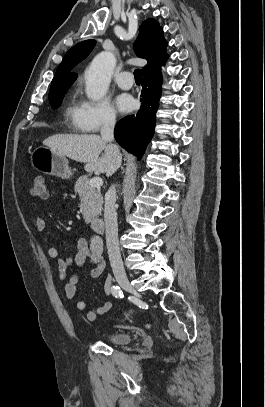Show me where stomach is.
<instances>
[{"instance_id":"0dacf381","label":"stomach","mask_w":265,"mask_h":407,"mask_svg":"<svg viewBox=\"0 0 265 407\" xmlns=\"http://www.w3.org/2000/svg\"><path fill=\"white\" fill-rule=\"evenodd\" d=\"M68 163L65 156L46 146L37 147L31 154V164L36 170L62 179H69L73 174Z\"/></svg>"}]
</instances>
